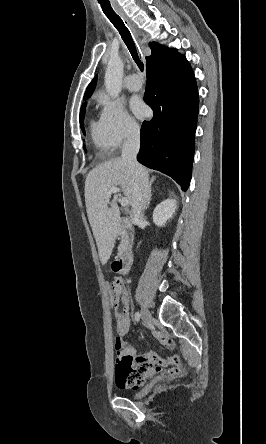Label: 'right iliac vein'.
Wrapping results in <instances>:
<instances>
[{"label":"right iliac vein","mask_w":266,"mask_h":444,"mask_svg":"<svg viewBox=\"0 0 266 444\" xmlns=\"http://www.w3.org/2000/svg\"><path fill=\"white\" fill-rule=\"evenodd\" d=\"M141 319L144 325H148L151 320L150 312L145 306L141 310Z\"/></svg>","instance_id":"1"}]
</instances>
